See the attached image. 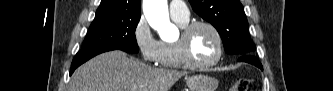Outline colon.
Segmentation results:
<instances>
[{
    "label": "colon",
    "mask_w": 333,
    "mask_h": 91,
    "mask_svg": "<svg viewBox=\"0 0 333 91\" xmlns=\"http://www.w3.org/2000/svg\"><path fill=\"white\" fill-rule=\"evenodd\" d=\"M251 84H252V81L250 79H247V78L239 79L233 85L232 90L233 91H248L250 89Z\"/></svg>",
    "instance_id": "1"
}]
</instances>
